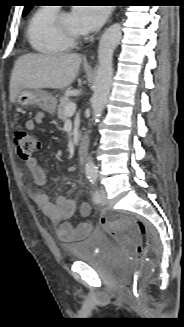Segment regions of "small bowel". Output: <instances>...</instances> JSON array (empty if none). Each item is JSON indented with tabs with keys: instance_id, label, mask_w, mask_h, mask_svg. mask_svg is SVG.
I'll return each instance as SVG.
<instances>
[{
	"instance_id": "small-bowel-1",
	"label": "small bowel",
	"mask_w": 184,
	"mask_h": 327,
	"mask_svg": "<svg viewBox=\"0 0 184 327\" xmlns=\"http://www.w3.org/2000/svg\"><path fill=\"white\" fill-rule=\"evenodd\" d=\"M45 114L43 112L36 113L33 117L27 120L26 127L30 130L35 129L42 123ZM26 166L29 169L34 182L38 186H44L48 182V176L44 169L39 165L36 158H31L26 161ZM33 200L42 212L57 225V235L63 241L78 240L86 237L91 230L92 224L89 221L80 222L72 225L68 220L76 211V203L67 195H59L52 202L48 194L44 191H35L32 194ZM91 212L89 203L82 202L79 207V213L83 217H88Z\"/></svg>"
}]
</instances>
